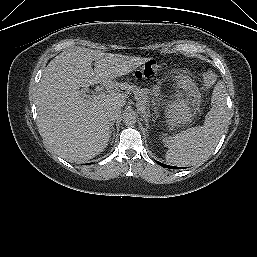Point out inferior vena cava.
<instances>
[{
  "label": "inferior vena cava",
  "instance_id": "1",
  "mask_svg": "<svg viewBox=\"0 0 257 257\" xmlns=\"http://www.w3.org/2000/svg\"><path fill=\"white\" fill-rule=\"evenodd\" d=\"M120 114H121V110H117V109L110 110L106 113V118L110 123H112L120 117Z\"/></svg>",
  "mask_w": 257,
  "mask_h": 257
}]
</instances>
